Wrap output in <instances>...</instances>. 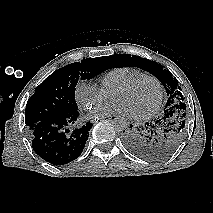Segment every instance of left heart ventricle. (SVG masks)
Here are the masks:
<instances>
[{
    "label": "left heart ventricle",
    "mask_w": 213,
    "mask_h": 213,
    "mask_svg": "<svg viewBox=\"0 0 213 213\" xmlns=\"http://www.w3.org/2000/svg\"><path fill=\"white\" fill-rule=\"evenodd\" d=\"M112 99L125 103L132 114H142L155 105L158 87L153 81L147 80L129 90L113 92Z\"/></svg>",
    "instance_id": "obj_1"
}]
</instances>
